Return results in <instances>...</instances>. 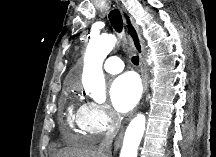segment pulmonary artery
Segmentation results:
<instances>
[{
  "label": "pulmonary artery",
  "mask_w": 216,
  "mask_h": 157,
  "mask_svg": "<svg viewBox=\"0 0 216 157\" xmlns=\"http://www.w3.org/2000/svg\"><path fill=\"white\" fill-rule=\"evenodd\" d=\"M123 62L119 56H110L103 64V68L107 73L116 74L123 70Z\"/></svg>",
  "instance_id": "obj_1"
}]
</instances>
